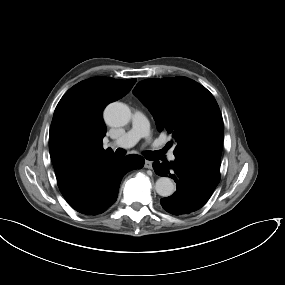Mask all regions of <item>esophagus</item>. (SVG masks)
Listing matches in <instances>:
<instances>
[{"instance_id": "obj_1", "label": "esophagus", "mask_w": 285, "mask_h": 285, "mask_svg": "<svg viewBox=\"0 0 285 285\" xmlns=\"http://www.w3.org/2000/svg\"><path fill=\"white\" fill-rule=\"evenodd\" d=\"M152 166H153V164H152L151 161L145 160L144 167H145L146 169H152Z\"/></svg>"}]
</instances>
